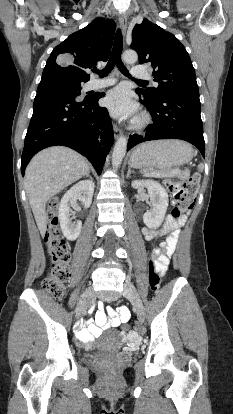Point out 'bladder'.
<instances>
[{
    "mask_svg": "<svg viewBox=\"0 0 233 414\" xmlns=\"http://www.w3.org/2000/svg\"><path fill=\"white\" fill-rule=\"evenodd\" d=\"M106 352H109V351H111V350H105Z\"/></svg>",
    "mask_w": 233,
    "mask_h": 414,
    "instance_id": "obj_1",
    "label": "bladder"
}]
</instances>
